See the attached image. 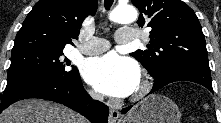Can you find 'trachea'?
<instances>
[{"instance_id": "3493384b", "label": "trachea", "mask_w": 221, "mask_h": 123, "mask_svg": "<svg viewBox=\"0 0 221 123\" xmlns=\"http://www.w3.org/2000/svg\"><path fill=\"white\" fill-rule=\"evenodd\" d=\"M104 4H105V8L109 9L111 5L113 4V0H105Z\"/></svg>"}]
</instances>
